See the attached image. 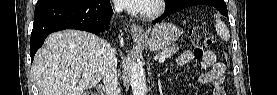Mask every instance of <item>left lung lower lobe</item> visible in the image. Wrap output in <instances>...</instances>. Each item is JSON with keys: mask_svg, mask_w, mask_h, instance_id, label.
Wrapping results in <instances>:
<instances>
[{"mask_svg": "<svg viewBox=\"0 0 277 95\" xmlns=\"http://www.w3.org/2000/svg\"><path fill=\"white\" fill-rule=\"evenodd\" d=\"M199 4L211 5L215 7L218 11H220L223 15L228 16L227 7L224 0H181L166 8L165 13L158 19L154 20L152 23H157L165 17H167L168 15L177 12L183 8Z\"/></svg>", "mask_w": 277, "mask_h": 95, "instance_id": "obj_1", "label": "left lung lower lobe"}]
</instances>
